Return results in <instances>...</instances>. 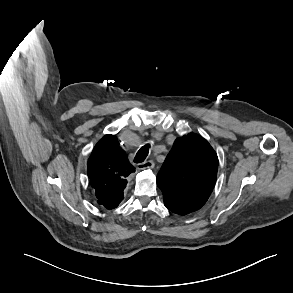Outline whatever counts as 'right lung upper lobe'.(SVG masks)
I'll list each match as a JSON object with an SVG mask.
<instances>
[{
  "label": "right lung upper lobe",
  "mask_w": 293,
  "mask_h": 293,
  "mask_svg": "<svg viewBox=\"0 0 293 293\" xmlns=\"http://www.w3.org/2000/svg\"><path fill=\"white\" fill-rule=\"evenodd\" d=\"M135 171L114 135H105L88 160V176L98 203L113 209L123 200L126 178Z\"/></svg>",
  "instance_id": "cb5924a9"
}]
</instances>
